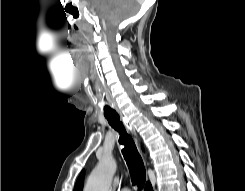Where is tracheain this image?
<instances>
[{
    "mask_svg": "<svg viewBox=\"0 0 245 191\" xmlns=\"http://www.w3.org/2000/svg\"><path fill=\"white\" fill-rule=\"evenodd\" d=\"M104 116L119 135V143L123 147L122 154L129 168L132 183L137 186L138 191H141L145 184L146 171L136 145L132 137L126 132L117 111L107 103L104 105Z\"/></svg>",
    "mask_w": 245,
    "mask_h": 191,
    "instance_id": "3493384b",
    "label": "trachea"
}]
</instances>
